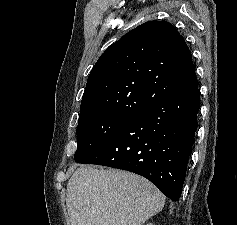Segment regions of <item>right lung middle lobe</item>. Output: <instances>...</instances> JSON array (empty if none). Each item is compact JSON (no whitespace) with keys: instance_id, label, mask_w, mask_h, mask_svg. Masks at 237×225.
Wrapping results in <instances>:
<instances>
[{"instance_id":"1","label":"right lung middle lobe","mask_w":237,"mask_h":225,"mask_svg":"<svg viewBox=\"0 0 237 225\" xmlns=\"http://www.w3.org/2000/svg\"><path fill=\"white\" fill-rule=\"evenodd\" d=\"M133 115H105L79 119L77 126V150L79 161L127 124Z\"/></svg>"}]
</instances>
